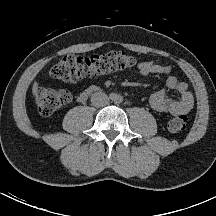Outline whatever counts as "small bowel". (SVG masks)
I'll return each instance as SVG.
<instances>
[{"label":"small bowel","mask_w":216,"mask_h":216,"mask_svg":"<svg viewBox=\"0 0 216 216\" xmlns=\"http://www.w3.org/2000/svg\"><path fill=\"white\" fill-rule=\"evenodd\" d=\"M139 72L142 75L162 74L168 75L166 79V87L170 90H176L180 93L178 98L169 97L166 90H159L152 93L149 97L150 107L162 113L171 115H180L190 112L194 106V97L186 82L179 81L175 76L170 75L172 68L169 65H161L155 61H144L138 66ZM82 92L78 96V100L83 102L87 96H83Z\"/></svg>","instance_id":"small-bowel-1"}]
</instances>
